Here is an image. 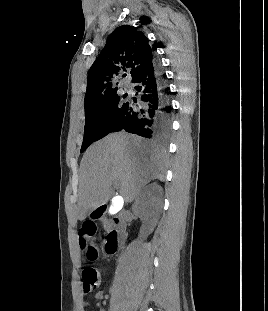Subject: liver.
I'll list each match as a JSON object with an SVG mask.
<instances>
[{
    "instance_id": "obj_1",
    "label": "liver",
    "mask_w": 268,
    "mask_h": 311,
    "mask_svg": "<svg viewBox=\"0 0 268 311\" xmlns=\"http://www.w3.org/2000/svg\"><path fill=\"white\" fill-rule=\"evenodd\" d=\"M166 160L157 147L124 132L96 142L80 163L76 218L82 221L107 203L115 183L125 202H132L151 180H164Z\"/></svg>"
}]
</instances>
